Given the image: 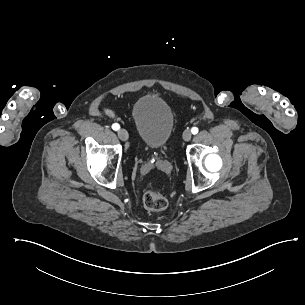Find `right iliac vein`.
Instances as JSON below:
<instances>
[{
	"mask_svg": "<svg viewBox=\"0 0 305 305\" xmlns=\"http://www.w3.org/2000/svg\"><path fill=\"white\" fill-rule=\"evenodd\" d=\"M118 136L121 140L125 141L128 139V132L125 129H120L118 131Z\"/></svg>",
	"mask_w": 305,
	"mask_h": 305,
	"instance_id": "1",
	"label": "right iliac vein"
}]
</instances>
